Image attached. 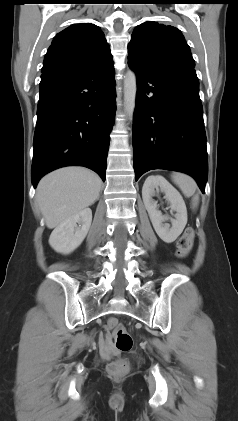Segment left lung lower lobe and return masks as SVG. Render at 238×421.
I'll use <instances>...</instances> for the list:
<instances>
[{"label":"left lung lower lobe","instance_id":"0a47b994","mask_svg":"<svg viewBox=\"0 0 238 421\" xmlns=\"http://www.w3.org/2000/svg\"><path fill=\"white\" fill-rule=\"evenodd\" d=\"M128 65L137 77L135 180L151 169L180 171L191 175L205 193L206 134L194 67L152 71L130 59Z\"/></svg>","mask_w":238,"mask_h":421}]
</instances>
